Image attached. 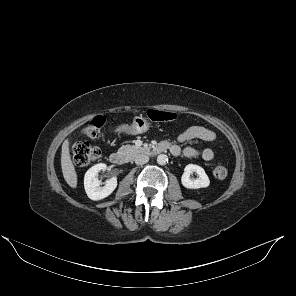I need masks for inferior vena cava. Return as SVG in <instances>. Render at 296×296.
<instances>
[{"label": "inferior vena cava", "mask_w": 296, "mask_h": 296, "mask_svg": "<svg viewBox=\"0 0 296 296\" xmlns=\"http://www.w3.org/2000/svg\"><path fill=\"white\" fill-rule=\"evenodd\" d=\"M149 161V157L145 154H139L135 157V163L137 165H143Z\"/></svg>", "instance_id": "1"}]
</instances>
